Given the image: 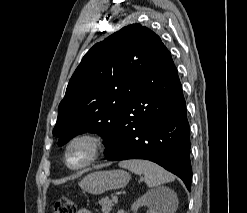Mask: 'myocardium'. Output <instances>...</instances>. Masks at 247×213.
Segmentation results:
<instances>
[{
	"label": "myocardium",
	"instance_id": "1",
	"mask_svg": "<svg viewBox=\"0 0 247 213\" xmlns=\"http://www.w3.org/2000/svg\"><path fill=\"white\" fill-rule=\"evenodd\" d=\"M80 143L86 144L88 146V156L82 163L78 165H72L69 162V152L71 148ZM104 147V140L100 135L92 132L78 133L72 136L65 144L63 152V163L68 169L72 171L83 170L94 164L100 158Z\"/></svg>",
	"mask_w": 247,
	"mask_h": 213
}]
</instances>
